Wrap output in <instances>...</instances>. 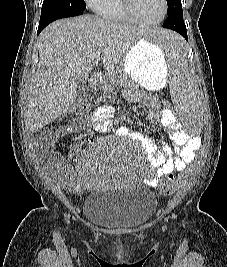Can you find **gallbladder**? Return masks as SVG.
<instances>
[{
  "label": "gallbladder",
  "instance_id": "gallbladder-1",
  "mask_svg": "<svg viewBox=\"0 0 227 267\" xmlns=\"http://www.w3.org/2000/svg\"><path fill=\"white\" fill-rule=\"evenodd\" d=\"M86 84H87L86 81L83 80V79H78L77 80V89H78V92L79 93H82L83 92V90L87 86Z\"/></svg>",
  "mask_w": 227,
  "mask_h": 267
}]
</instances>
